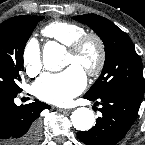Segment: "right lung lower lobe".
I'll return each instance as SVG.
<instances>
[{
  "instance_id": "1",
  "label": "right lung lower lobe",
  "mask_w": 145,
  "mask_h": 145,
  "mask_svg": "<svg viewBox=\"0 0 145 145\" xmlns=\"http://www.w3.org/2000/svg\"><path fill=\"white\" fill-rule=\"evenodd\" d=\"M20 92L0 88V145H36L40 138L38 118L50 106L38 100L17 106Z\"/></svg>"
}]
</instances>
